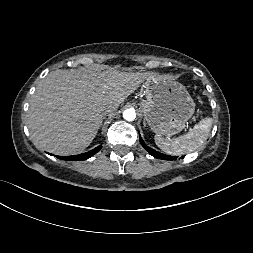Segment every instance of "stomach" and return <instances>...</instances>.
<instances>
[{"label":"stomach","mask_w":253,"mask_h":253,"mask_svg":"<svg viewBox=\"0 0 253 253\" xmlns=\"http://www.w3.org/2000/svg\"><path fill=\"white\" fill-rule=\"evenodd\" d=\"M143 87L146 99L139 106L151 130L162 136L179 133L195 111L186 88L160 76H149Z\"/></svg>","instance_id":"1"}]
</instances>
